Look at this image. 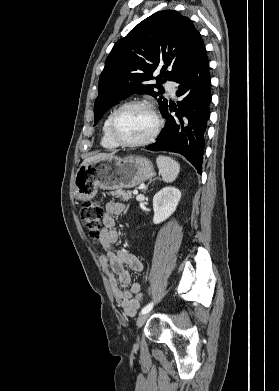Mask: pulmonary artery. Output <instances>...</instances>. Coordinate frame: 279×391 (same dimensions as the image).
I'll list each match as a JSON object with an SVG mask.
<instances>
[{"instance_id": "pulmonary-artery-1", "label": "pulmonary artery", "mask_w": 279, "mask_h": 391, "mask_svg": "<svg viewBox=\"0 0 279 391\" xmlns=\"http://www.w3.org/2000/svg\"><path fill=\"white\" fill-rule=\"evenodd\" d=\"M166 88L167 90L172 94L174 95L175 94V91H176V84L174 82H168L166 84Z\"/></svg>"}]
</instances>
